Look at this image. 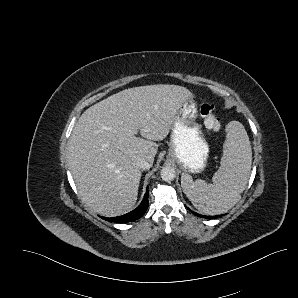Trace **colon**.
I'll list each match as a JSON object with an SVG mask.
<instances>
[{
    "mask_svg": "<svg viewBox=\"0 0 298 298\" xmlns=\"http://www.w3.org/2000/svg\"><path fill=\"white\" fill-rule=\"evenodd\" d=\"M200 115L206 128L217 131L221 128V121L214 111V106L209 102H204L200 107Z\"/></svg>",
    "mask_w": 298,
    "mask_h": 298,
    "instance_id": "1",
    "label": "colon"
}]
</instances>
